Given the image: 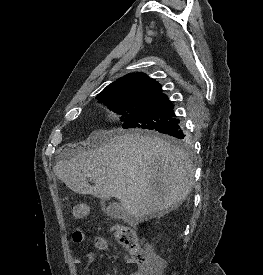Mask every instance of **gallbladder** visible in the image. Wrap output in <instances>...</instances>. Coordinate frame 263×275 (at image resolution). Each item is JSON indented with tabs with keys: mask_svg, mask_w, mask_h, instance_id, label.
<instances>
[{
	"mask_svg": "<svg viewBox=\"0 0 263 275\" xmlns=\"http://www.w3.org/2000/svg\"><path fill=\"white\" fill-rule=\"evenodd\" d=\"M104 211L113 218H121L123 217V209L119 204L113 203L108 207L104 208Z\"/></svg>",
	"mask_w": 263,
	"mask_h": 275,
	"instance_id": "1",
	"label": "gallbladder"
}]
</instances>
